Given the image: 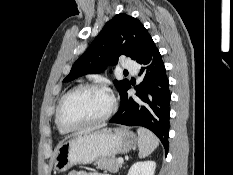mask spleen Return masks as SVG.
Returning <instances> with one entry per match:
<instances>
[{"instance_id":"spleen-1","label":"spleen","mask_w":233,"mask_h":175,"mask_svg":"<svg viewBox=\"0 0 233 175\" xmlns=\"http://www.w3.org/2000/svg\"><path fill=\"white\" fill-rule=\"evenodd\" d=\"M138 133L139 158L150 155L158 146V138L148 129L140 127Z\"/></svg>"}]
</instances>
